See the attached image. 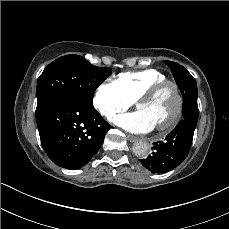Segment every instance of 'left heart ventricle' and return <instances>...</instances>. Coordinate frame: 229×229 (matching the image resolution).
<instances>
[{
  "instance_id": "b2bd125f",
  "label": "left heart ventricle",
  "mask_w": 229,
  "mask_h": 229,
  "mask_svg": "<svg viewBox=\"0 0 229 229\" xmlns=\"http://www.w3.org/2000/svg\"><path fill=\"white\" fill-rule=\"evenodd\" d=\"M174 88V86L169 85L165 87L151 102H143L137 106V109L144 112L152 121L154 127L168 125L167 120L174 106L171 94V91Z\"/></svg>"
}]
</instances>
